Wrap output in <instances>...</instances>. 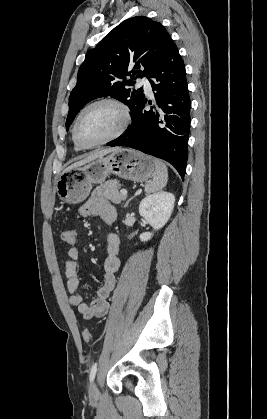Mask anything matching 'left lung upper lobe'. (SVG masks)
<instances>
[{"mask_svg": "<svg viewBox=\"0 0 267 419\" xmlns=\"http://www.w3.org/2000/svg\"><path fill=\"white\" fill-rule=\"evenodd\" d=\"M171 37L159 22L145 16L123 21L86 54L69 98L66 129L89 101L111 96L131 110L144 99L131 90L136 78L148 76L162 59ZM131 75L130 80L126 76Z\"/></svg>", "mask_w": 267, "mask_h": 419, "instance_id": "left-lung-upper-lobe-1", "label": "left lung upper lobe"}]
</instances>
